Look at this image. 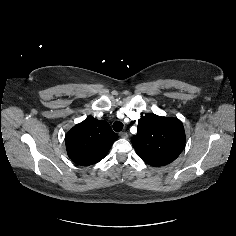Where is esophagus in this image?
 <instances>
[{"label":"esophagus","instance_id":"34e87169","mask_svg":"<svg viewBox=\"0 0 236 236\" xmlns=\"http://www.w3.org/2000/svg\"><path fill=\"white\" fill-rule=\"evenodd\" d=\"M119 136H120L121 138H123V139L128 138V134H127L126 132H120V133H119Z\"/></svg>","mask_w":236,"mask_h":236}]
</instances>
